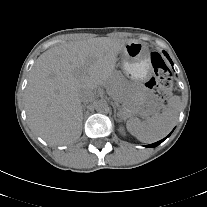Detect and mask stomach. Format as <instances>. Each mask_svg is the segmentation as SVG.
I'll return each mask as SVG.
<instances>
[{
	"label": "stomach",
	"mask_w": 207,
	"mask_h": 207,
	"mask_svg": "<svg viewBox=\"0 0 207 207\" xmlns=\"http://www.w3.org/2000/svg\"><path fill=\"white\" fill-rule=\"evenodd\" d=\"M119 56L122 62V69L127 76L138 82L145 81L152 73L150 54L146 46L141 42H131L126 44ZM118 88L121 92V108L119 117L125 119L130 115L145 112L148 107L149 93L144 88L133 91L127 90L125 82L120 80Z\"/></svg>",
	"instance_id": "stomach-1"
}]
</instances>
